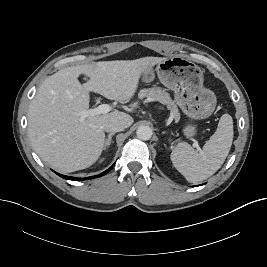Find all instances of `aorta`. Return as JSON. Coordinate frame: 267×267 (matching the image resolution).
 I'll return each mask as SVG.
<instances>
[{
  "label": "aorta",
  "mask_w": 267,
  "mask_h": 267,
  "mask_svg": "<svg viewBox=\"0 0 267 267\" xmlns=\"http://www.w3.org/2000/svg\"><path fill=\"white\" fill-rule=\"evenodd\" d=\"M136 134L141 140H149L152 137V129L147 125H141L138 127Z\"/></svg>",
  "instance_id": "obj_1"
}]
</instances>
